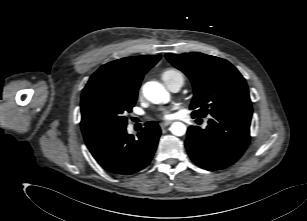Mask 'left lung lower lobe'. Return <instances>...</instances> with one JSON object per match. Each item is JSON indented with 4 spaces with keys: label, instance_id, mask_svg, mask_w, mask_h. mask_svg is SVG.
Masks as SVG:
<instances>
[{
    "label": "left lung lower lobe",
    "instance_id": "obj_1",
    "mask_svg": "<svg viewBox=\"0 0 307 221\" xmlns=\"http://www.w3.org/2000/svg\"><path fill=\"white\" fill-rule=\"evenodd\" d=\"M251 117L225 113L211 116L205 129L191 126L185 147L195 164L209 171L234 164L250 142Z\"/></svg>",
    "mask_w": 307,
    "mask_h": 221
}]
</instances>
